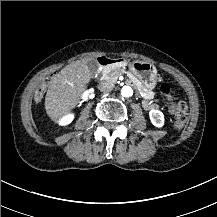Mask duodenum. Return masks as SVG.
Masks as SVG:
<instances>
[{
    "mask_svg": "<svg viewBox=\"0 0 217 217\" xmlns=\"http://www.w3.org/2000/svg\"><path fill=\"white\" fill-rule=\"evenodd\" d=\"M97 62L101 67H114L119 65L120 60L108 58V57H99L97 59Z\"/></svg>",
    "mask_w": 217,
    "mask_h": 217,
    "instance_id": "obj_1",
    "label": "duodenum"
}]
</instances>
